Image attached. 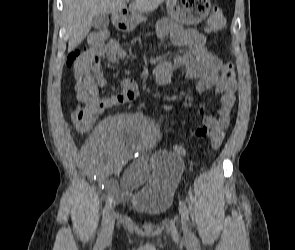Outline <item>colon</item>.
Returning a JSON list of instances; mask_svg holds the SVG:
<instances>
[{
	"mask_svg": "<svg viewBox=\"0 0 295 250\" xmlns=\"http://www.w3.org/2000/svg\"><path fill=\"white\" fill-rule=\"evenodd\" d=\"M225 16L222 9L214 7L208 16L206 29L210 33H216L224 28ZM108 33L106 31L95 32L91 37L92 46L105 44L108 40ZM87 49H80L73 53L78 59H82L86 54ZM222 76L226 80L235 78L234 65L231 62L224 64L222 68ZM99 115L98 109L93 105H77L71 111V121L76 129L80 131L90 130Z\"/></svg>",
	"mask_w": 295,
	"mask_h": 250,
	"instance_id": "obj_1",
	"label": "colon"
}]
</instances>
